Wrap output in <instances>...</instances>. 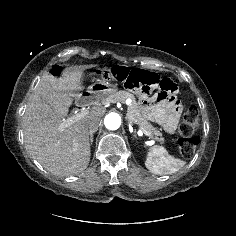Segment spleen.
<instances>
[{
  "instance_id": "obj_1",
  "label": "spleen",
  "mask_w": 236,
  "mask_h": 236,
  "mask_svg": "<svg viewBox=\"0 0 236 236\" xmlns=\"http://www.w3.org/2000/svg\"><path fill=\"white\" fill-rule=\"evenodd\" d=\"M186 164L185 161L168 154L162 146L152 147L145 160V166L154 174H173Z\"/></svg>"
}]
</instances>
